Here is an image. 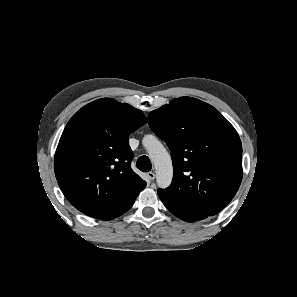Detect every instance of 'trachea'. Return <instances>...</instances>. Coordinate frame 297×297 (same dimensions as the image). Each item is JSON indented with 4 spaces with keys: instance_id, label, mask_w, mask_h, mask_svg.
<instances>
[{
    "instance_id": "3493384b",
    "label": "trachea",
    "mask_w": 297,
    "mask_h": 297,
    "mask_svg": "<svg viewBox=\"0 0 297 297\" xmlns=\"http://www.w3.org/2000/svg\"><path fill=\"white\" fill-rule=\"evenodd\" d=\"M136 167L143 172H149L152 168L149 157L147 156L139 157L136 163Z\"/></svg>"
}]
</instances>
